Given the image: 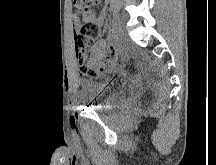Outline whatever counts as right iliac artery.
Returning a JSON list of instances; mask_svg holds the SVG:
<instances>
[{"instance_id":"obj_1","label":"right iliac artery","mask_w":216,"mask_h":165,"mask_svg":"<svg viewBox=\"0 0 216 165\" xmlns=\"http://www.w3.org/2000/svg\"><path fill=\"white\" fill-rule=\"evenodd\" d=\"M115 37V28L114 26H110L108 30V39L112 40Z\"/></svg>"}]
</instances>
